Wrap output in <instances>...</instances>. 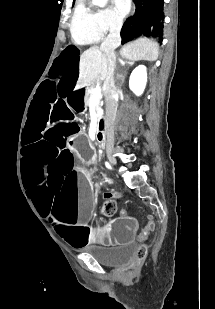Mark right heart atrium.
Here are the masks:
<instances>
[{
    "mask_svg": "<svg viewBox=\"0 0 215 309\" xmlns=\"http://www.w3.org/2000/svg\"><path fill=\"white\" fill-rule=\"evenodd\" d=\"M100 29L116 32L122 25V19L111 8H105L95 15Z\"/></svg>",
    "mask_w": 215,
    "mask_h": 309,
    "instance_id": "right-heart-atrium-1",
    "label": "right heart atrium"
}]
</instances>
